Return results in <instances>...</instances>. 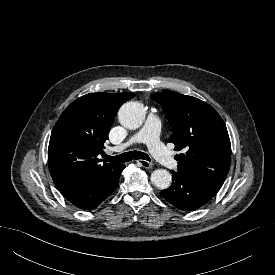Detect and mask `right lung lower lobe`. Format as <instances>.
I'll use <instances>...</instances> for the list:
<instances>
[{
  "instance_id": "98d812e1",
  "label": "right lung lower lobe",
  "mask_w": 275,
  "mask_h": 275,
  "mask_svg": "<svg viewBox=\"0 0 275 275\" xmlns=\"http://www.w3.org/2000/svg\"><path fill=\"white\" fill-rule=\"evenodd\" d=\"M124 168V164H118L112 170L97 179L61 191L62 195L81 209L96 208L118 187L119 177Z\"/></svg>"
}]
</instances>
